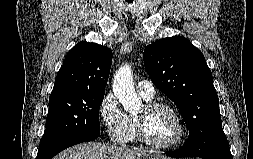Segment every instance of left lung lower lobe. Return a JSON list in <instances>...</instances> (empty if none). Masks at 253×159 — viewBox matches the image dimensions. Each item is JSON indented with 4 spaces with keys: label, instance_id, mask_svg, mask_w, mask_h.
Segmentation results:
<instances>
[{
    "label": "left lung lower lobe",
    "instance_id": "left-lung-lower-lobe-1",
    "mask_svg": "<svg viewBox=\"0 0 253 159\" xmlns=\"http://www.w3.org/2000/svg\"><path fill=\"white\" fill-rule=\"evenodd\" d=\"M170 157H200L203 159H233L227 138L222 129H218L206 142L189 138L178 150L166 152Z\"/></svg>",
    "mask_w": 253,
    "mask_h": 159
}]
</instances>
